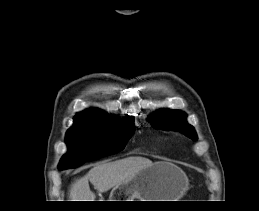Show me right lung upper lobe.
<instances>
[{
  "label": "right lung upper lobe",
  "instance_id": "1",
  "mask_svg": "<svg viewBox=\"0 0 259 211\" xmlns=\"http://www.w3.org/2000/svg\"><path fill=\"white\" fill-rule=\"evenodd\" d=\"M75 117L112 118V117L105 115L101 112H98V110H94V109L85 110V111L79 113L78 115H76Z\"/></svg>",
  "mask_w": 259,
  "mask_h": 211
}]
</instances>
